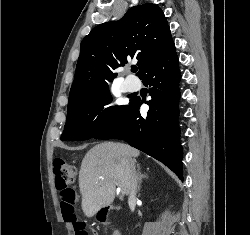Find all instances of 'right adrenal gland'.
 Wrapping results in <instances>:
<instances>
[{
  "label": "right adrenal gland",
  "instance_id": "2a0ac1e0",
  "mask_svg": "<svg viewBox=\"0 0 250 235\" xmlns=\"http://www.w3.org/2000/svg\"><path fill=\"white\" fill-rule=\"evenodd\" d=\"M137 175H138L137 192H139L140 189H141L142 179L148 178V175H147V174H142V173H141V168H140V165H139V164L137 165Z\"/></svg>",
  "mask_w": 250,
  "mask_h": 235
}]
</instances>
